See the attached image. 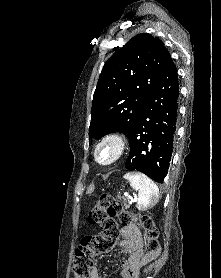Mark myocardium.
Returning <instances> with one entry per match:
<instances>
[{"label":"myocardium","instance_id":"myocardium-1","mask_svg":"<svg viewBox=\"0 0 221 278\" xmlns=\"http://www.w3.org/2000/svg\"><path fill=\"white\" fill-rule=\"evenodd\" d=\"M110 144L113 146L115 153L111 160L108 162H101L98 158V150L102 145ZM126 140L119 133H108L102 136L94 146L93 155L95 161L104 167L111 166L120 161L126 152Z\"/></svg>","mask_w":221,"mask_h":278}]
</instances>
